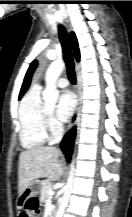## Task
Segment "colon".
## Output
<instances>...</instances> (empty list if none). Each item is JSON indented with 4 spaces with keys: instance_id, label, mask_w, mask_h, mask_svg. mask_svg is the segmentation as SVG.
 Segmentation results:
<instances>
[{
    "instance_id": "5ec220e1",
    "label": "colon",
    "mask_w": 132,
    "mask_h": 217,
    "mask_svg": "<svg viewBox=\"0 0 132 217\" xmlns=\"http://www.w3.org/2000/svg\"><path fill=\"white\" fill-rule=\"evenodd\" d=\"M39 212V203L36 198H30L26 201L23 209V217H36Z\"/></svg>"
}]
</instances>
